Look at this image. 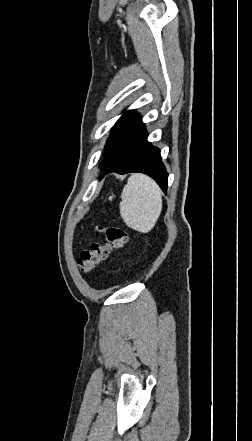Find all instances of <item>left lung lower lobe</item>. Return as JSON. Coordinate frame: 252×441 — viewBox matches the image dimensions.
Returning <instances> with one entry per match:
<instances>
[{"label":"left lung lower lobe","mask_w":252,"mask_h":441,"mask_svg":"<svg viewBox=\"0 0 252 441\" xmlns=\"http://www.w3.org/2000/svg\"><path fill=\"white\" fill-rule=\"evenodd\" d=\"M103 168L107 173H144L153 178L164 193L167 191L168 173L161 161L160 150L147 141L141 117L129 129L114 159Z\"/></svg>","instance_id":"1"}]
</instances>
